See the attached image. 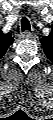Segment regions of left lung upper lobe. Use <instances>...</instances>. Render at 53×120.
<instances>
[{
	"label": "left lung upper lobe",
	"instance_id": "1",
	"mask_svg": "<svg viewBox=\"0 0 53 120\" xmlns=\"http://www.w3.org/2000/svg\"><path fill=\"white\" fill-rule=\"evenodd\" d=\"M40 41L44 47L45 54L49 59H52L53 58V34L51 33L48 37L41 38Z\"/></svg>",
	"mask_w": 53,
	"mask_h": 120
}]
</instances>
